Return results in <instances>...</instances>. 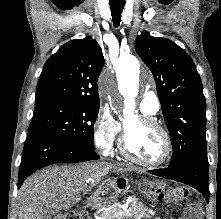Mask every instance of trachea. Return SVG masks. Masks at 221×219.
<instances>
[{"mask_svg": "<svg viewBox=\"0 0 221 219\" xmlns=\"http://www.w3.org/2000/svg\"><path fill=\"white\" fill-rule=\"evenodd\" d=\"M125 2H110V9L112 15V21L115 27H118L121 22V15L124 9Z\"/></svg>", "mask_w": 221, "mask_h": 219, "instance_id": "1", "label": "trachea"}]
</instances>
